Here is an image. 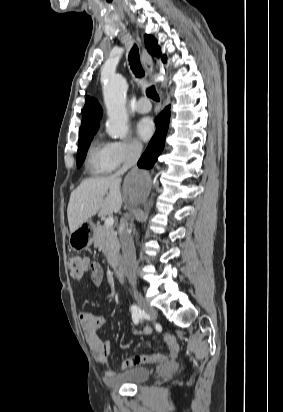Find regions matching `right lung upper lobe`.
I'll use <instances>...</instances> for the list:
<instances>
[{
  "mask_svg": "<svg viewBox=\"0 0 283 412\" xmlns=\"http://www.w3.org/2000/svg\"><path fill=\"white\" fill-rule=\"evenodd\" d=\"M145 44L151 55L160 56V48L153 36L145 35ZM162 61L164 63L166 62L165 55L162 57ZM101 117L102 110L99 103L94 98L87 97L83 108V117L79 137L96 132L99 127Z\"/></svg>",
  "mask_w": 283,
  "mask_h": 412,
  "instance_id": "right-lung-upper-lobe-1",
  "label": "right lung upper lobe"
}]
</instances>
